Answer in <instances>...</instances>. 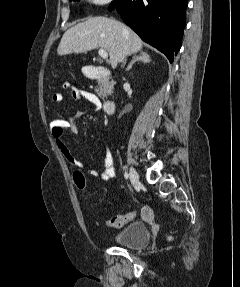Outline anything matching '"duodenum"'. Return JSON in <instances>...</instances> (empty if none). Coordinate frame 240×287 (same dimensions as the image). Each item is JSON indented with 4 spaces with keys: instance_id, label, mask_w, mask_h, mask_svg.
Returning <instances> with one entry per match:
<instances>
[{
    "instance_id": "410a0bca",
    "label": "duodenum",
    "mask_w": 240,
    "mask_h": 287,
    "mask_svg": "<svg viewBox=\"0 0 240 287\" xmlns=\"http://www.w3.org/2000/svg\"><path fill=\"white\" fill-rule=\"evenodd\" d=\"M85 71H86V77L91 80L105 79L110 75L108 69L104 67H97L94 65L85 66ZM103 106L105 113L112 114L115 109V102L112 100H106Z\"/></svg>"
}]
</instances>
